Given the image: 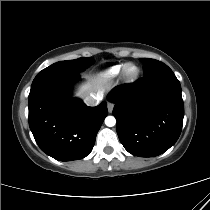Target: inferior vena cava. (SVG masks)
Wrapping results in <instances>:
<instances>
[{"instance_id": "obj_1", "label": "inferior vena cava", "mask_w": 210, "mask_h": 210, "mask_svg": "<svg viewBox=\"0 0 210 210\" xmlns=\"http://www.w3.org/2000/svg\"><path fill=\"white\" fill-rule=\"evenodd\" d=\"M84 102H85L88 106H96V105L99 103V99H98L97 96L90 95V96H87V97L84 99Z\"/></svg>"}]
</instances>
